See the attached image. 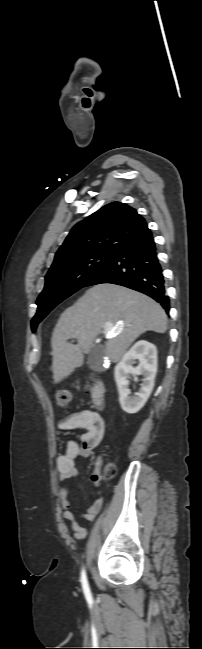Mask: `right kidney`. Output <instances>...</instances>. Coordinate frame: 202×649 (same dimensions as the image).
<instances>
[{"instance_id": "1", "label": "right kidney", "mask_w": 202, "mask_h": 649, "mask_svg": "<svg viewBox=\"0 0 202 649\" xmlns=\"http://www.w3.org/2000/svg\"><path fill=\"white\" fill-rule=\"evenodd\" d=\"M139 360L137 367L132 364ZM157 372V349L154 344L145 340L136 342L116 365L114 377L119 392L122 409L129 413H137L148 400L153 388ZM143 375L140 390L135 396H130L129 375Z\"/></svg>"}]
</instances>
